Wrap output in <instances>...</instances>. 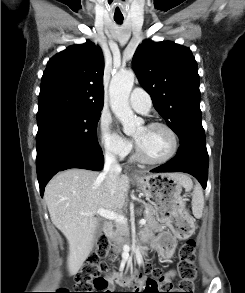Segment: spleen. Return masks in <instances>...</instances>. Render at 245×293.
Segmentation results:
<instances>
[{
	"instance_id": "spleen-1",
	"label": "spleen",
	"mask_w": 245,
	"mask_h": 293,
	"mask_svg": "<svg viewBox=\"0 0 245 293\" xmlns=\"http://www.w3.org/2000/svg\"><path fill=\"white\" fill-rule=\"evenodd\" d=\"M204 208V195L202 188L199 185L194 186L192 195V212L196 218L202 217Z\"/></svg>"
}]
</instances>
